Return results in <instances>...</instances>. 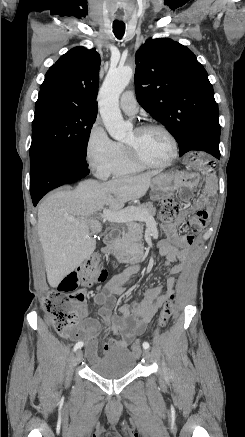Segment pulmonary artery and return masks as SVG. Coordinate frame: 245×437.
Returning <instances> with one entry per match:
<instances>
[{
    "instance_id": "obj_1",
    "label": "pulmonary artery",
    "mask_w": 245,
    "mask_h": 437,
    "mask_svg": "<svg viewBox=\"0 0 245 437\" xmlns=\"http://www.w3.org/2000/svg\"><path fill=\"white\" fill-rule=\"evenodd\" d=\"M120 107L128 115H134L138 110V104L132 91H126L120 98Z\"/></svg>"
}]
</instances>
